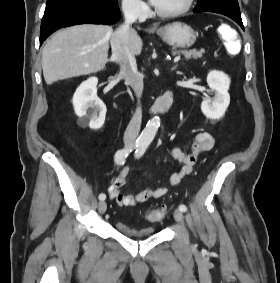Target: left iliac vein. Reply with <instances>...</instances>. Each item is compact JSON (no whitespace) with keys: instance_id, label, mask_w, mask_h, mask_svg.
<instances>
[{"instance_id":"1","label":"left iliac vein","mask_w":280,"mask_h":283,"mask_svg":"<svg viewBox=\"0 0 280 283\" xmlns=\"http://www.w3.org/2000/svg\"><path fill=\"white\" fill-rule=\"evenodd\" d=\"M173 216L174 219L176 220V222H178L179 224H184V216L183 213L180 210H174L173 212Z\"/></svg>"}]
</instances>
